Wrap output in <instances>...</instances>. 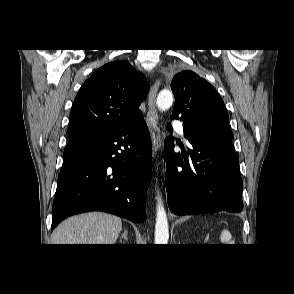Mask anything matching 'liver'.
<instances>
[{"mask_svg": "<svg viewBox=\"0 0 294 294\" xmlns=\"http://www.w3.org/2000/svg\"><path fill=\"white\" fill-rule=\"evenodd\" d=\"M122 230L119 217L103 212L76 215L52 233L53 244H115Z\"/></svg>", "mask_w": 294, "mask_h": 294, "instance_id": "liver-1", "label": "liver"}]
</instances>
